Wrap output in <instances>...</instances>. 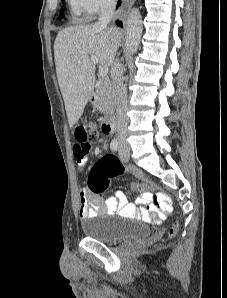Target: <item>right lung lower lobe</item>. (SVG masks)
Wrapping results in <instances>:
<instances>
[{"label": "right lung lower lobe", "instance_id": "1", "mask_svg": "<svg viewBox=\"0 0 227 298\" xmlns=\"http://www.w3.org/2000/svg\"><path fill=\"white\" fill-rule=\"evenodd\" d=\"M120 4H121V0L118 1V3H117V7H118ZM117 25L120 26V27H123L122 22H120V21H117Z\"/></svg>", "mask_w": 227, "mask_h": 298}]
</instances>
